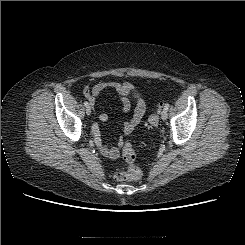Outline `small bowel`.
I'll return each mask as SVG.
<instances>
[{
    "label": "small bowel",
    "instance_id": "1",
    "mask_svg": "<svg viewBox=\"0 0 245 245\" xmlns=\"http://www.w3.org/2000/svg\"><path fill=\"white\" fill-rule=\"evenodd\" d=\"M109 88L114 89L119 94V100L122 104V112L129 111L131 104L126 96L130 92H134L135 89L131 83L121 84L117 82H104V83H98L94 85L91 88L90 93L88 95V99L91 106L94 107L95 105V97L100 95L102 92H104L106 89ZM135 100L136 103H135L133 115L123 125V133L125 135L132 133V131L140 123V121L142 120L145 114L146 103L144 98L136 95ZM98 117L101 121L107 120V115L103 112H99ZM93 135H94L95 145L97 146V148L100 150L101 154L104 157L109 159H114L119 155V148L117 146L107 147L102 144L101 137H100V130L98 126H95L93 128Z\"/></svg>",
    "mask_w": 245,
    "mask_h": 245
}]
</instances>
